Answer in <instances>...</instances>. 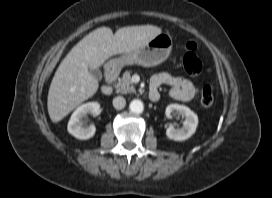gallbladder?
Wrapping results in <instances>:
<instances>
[{
	"instance_id": "gallbladder-1",
	"label": "gallbladder",
	"mask_w": 272,
	"mask_h": 198,
	"mask_svg": "<svg viewBox=\"0 0 272 198\" xmlns=\"http://www.w3.org/2000/svg\"><path fill=\"white\" fill-rule=\"evenodd\" d=\"M89 73L95 77L97 80L102 79V73L99 69H89Z\"/></svg>"
}]
</instances>
